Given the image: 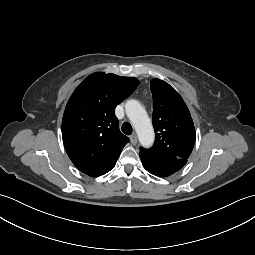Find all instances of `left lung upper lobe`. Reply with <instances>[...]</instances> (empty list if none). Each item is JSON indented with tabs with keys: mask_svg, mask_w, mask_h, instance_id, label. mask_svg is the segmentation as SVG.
<instances>
[{
	"mask_svg": "<svg viewBox=\"0 0 255 255\" xmlns=\"http://www.w3.org/2000/svg\"><path fill=\"white\" fill-rule=\"evenodd\" d=\"M150 88L153 96L155 142L150 149L141 147L139 155L157 164L187 161L195 144V128L185 102L163 80H151Z\"/></svg>",
	"mask_w": 255,
	"mask_h": 255,
	"instance_id": "left-lung-upper-lobe-1",
	"label": "left lung upper lobe"
}]
</instances>
